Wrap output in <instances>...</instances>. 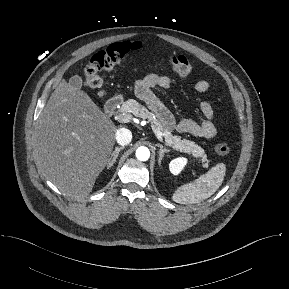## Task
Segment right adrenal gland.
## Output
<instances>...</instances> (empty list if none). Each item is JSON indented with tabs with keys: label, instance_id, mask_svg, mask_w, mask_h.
Returning <instances> with one entry per match:
<instances>
[{
	"label": "right adrenal gland",
	"instance_id": "2a0ac1e0",
	"mask_svg": "<svg viewBox=\"0 0 289 289\" xmlns=\"http://www.w3.org/2000/svg\"><path fill=\"white\" fill-rule=\"evenodd\" d=\"M124 149V147H116L115 150L111 153V156L108 160V164H107V169L111 168L114 163L116 162V159L119 155V152Z\"/></svg>",
	"mask_w": 289,
	"mask_h": 289
}]
</instances>
